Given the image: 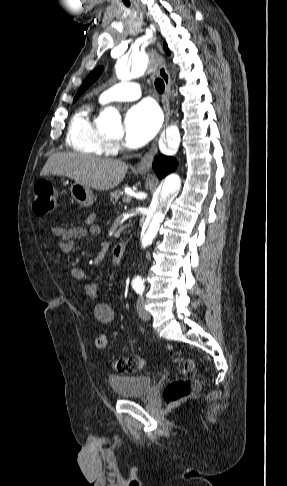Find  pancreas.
Masks as SVG:
<instances>
[{
  "instance_id": "cf45deb5",
  "label": "pancreas",
  "mask_w": 287,
  "mask_h": 486,
  "mask_svg": "<svg viewBox=\"0 0 287 486\" xmlns=\"http://www.w3.org/2000/svg\"><path fill=\"white\" fill-rule=\"evenodd\" d=\"M121 195H122V191L121 190H116L114 192H111L110 193L111 201H113V203H116L117 201H119Z\"/></svg>"
}]
</instances>
